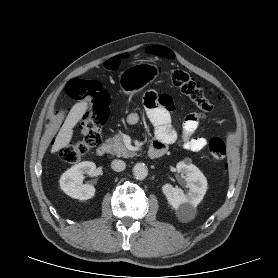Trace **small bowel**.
Wrapping results in <instances>:
<instances>
[{
	"mask_svg": "<svg viewBox=\"0 0 278 278\" xmlns=\"http://www.w3.org/2000/svg\"><path fill=\"white\" fill-rule=\"evenodd\" d=\"M144 105L148 118L154 126L155 141L165 148L168 145L179 141L181 145L192 152H199L207 145V139L204 137L194 136L201 120L205 119V114L193 112L186 116L181 130V137H178L177 130L173 126L170 117V110L173 107L172 98L169 95H158L154 91L145 94ZM140 117L137 113H131L127 117L130 125L139 122Z\"/></svg>",
	"mask_w": 278,
	"mask_h": 278,
	"instance_id": "1",
	"label": "small bowel"
}]
</instances>
